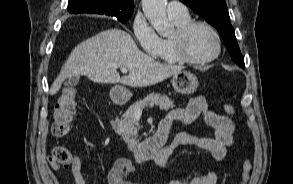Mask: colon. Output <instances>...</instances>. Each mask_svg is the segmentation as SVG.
Listing matches in <instances>:
<instances>
[{
  "label": "colon",
  "mask_w": 293,
  "mask_h": 184,
  "mask_svg": "<svg viewBox=\"0 0 293 184\" xmlns=\"http://www.w3.org/2000/svg\"><path fill=\"white\" fill-rule=\"evenodd\" d=\"M224 111L228 115L235 114V108L230 103L223 105ZM76 103L74 90L71 87H65L63 94L55 105L54 121L52 124V133L55 137H64L67 135L73 124L75 115ZM71 155L69 151L62 145H57L53 148L49 156L50 163L64 165L69 163ZM251 164L248 160L243 163L241 184H247L249 180Z\"/></svg>",
  "instance_id": "obj_1"
}]
</instances>
